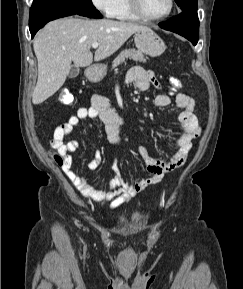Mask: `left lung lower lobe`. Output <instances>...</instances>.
Masks as SVG:
<instances>
[{
	"label": "left lung lower lobe",
	"instance_id": "1",
	"mask_svg": "<svg viewBox=\"0 0 243 289\" xmlns=\"http://www.w3.org/2000/svg\"><path fill=\"white\" fill-rule=\"evenodd\" d=\"M159 26L165 30L184 36L193 45H196L198 42L199 19L197 10L183 11L173 19L159 23Z\"/></svg>",
	"mask_w": 243,
	"mask_h": 289
}]
</instances>
